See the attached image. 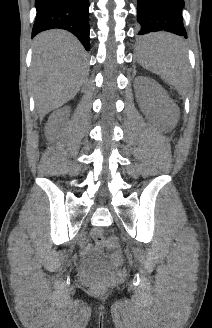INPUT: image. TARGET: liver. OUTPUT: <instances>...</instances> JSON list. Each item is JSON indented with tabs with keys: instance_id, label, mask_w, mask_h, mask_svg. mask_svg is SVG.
Masks as SVG:
<instances>
[{
	"instance_id": "obj_1",
	"label": "liver",
	"mask_w": 212,
	"mask_h": 328,
	"mask_svg": "<svg viewBox=\"0 0 212 328\" xmlns=\"http://www.w3.org/2000/svg\"><path fill=\"white\" fill-rule=\"evenodd\" d=\"M88 75L86 53L71 33L51 30L34 40L31 86L42 120L71 100Z\"/></svg>"
}]
</instances>
